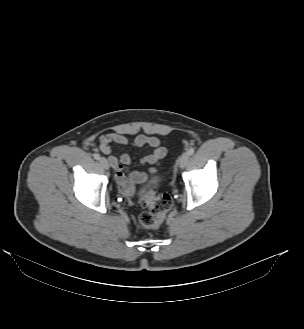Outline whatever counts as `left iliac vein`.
Here are the masks:
<instances>
[{
    "label": "left iliac vein",
    "instance_id": "obj_1",
    "mask_svg": "<svg viewBox=\"0 0 304 329\" xmlns=\"http://www.w3.org/2000/svg\"><path fill=\"white\" fill-rule=\"evenodd\" d=\"M189 161V154L187 152L183 153L180 157V160H179V166L180 168H184L187 163Z\"/></svg>",
    "mask_w": 304,
    "mask_h": 329
}]
</instances>
